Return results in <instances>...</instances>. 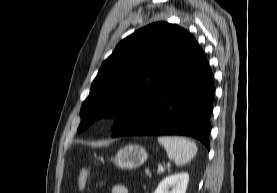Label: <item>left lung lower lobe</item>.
I'll return each instance as SVG.
<instances>
[{
	"label": "left lung lower lobe",
	"mask_w": 277,
	"mask_h": 193,
	"mask_svg": "<svg viewBox=\"0 0 277 193\" xmlns=\"http://www.w3.org/2000/svg\"><path fill=\"white\" fill-rule=\"evenodd\" d=\"M215 86L198 43L188 59L112 135H186L208 149Z\"/></svg>",
	"instance_id": "1"
}]
</instances>
